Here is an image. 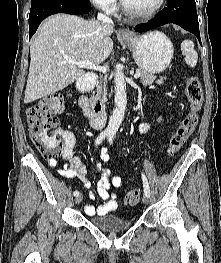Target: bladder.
<instances>
[{
  "label": "bladder",
  "instance_id": "31cf9c89",
  "mask_svg": "<svg viewBox=\"0 0 221 263\" xmlns=\"http://www.w3.org/2000/svg\"><path fill=\"white\" fill-rule=\"evenodd\" d=\"M90 223L97 229L106 233H118L132 226L130 220H124L117 214L94 215Z\"/></svg>",
  "mask_w": 221,
  "mask_h": 263
}]
</instances>
